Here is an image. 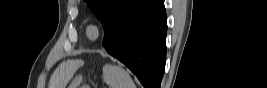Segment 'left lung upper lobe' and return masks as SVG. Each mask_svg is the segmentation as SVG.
I'll list each match as a JSON object with an SVG mask.
<instances>
[{
  "mask_svg": "<svg viewBox=\"0 0 267 88\" xmlns=\"http://www.w3.org/2000/svg\"><path fill=\"white\" fill-rule=\"evenodd\" d=\"M102 22L105 32L137 0H84Z\"/></svg>",
  "mask_w": 267,
  "mask_h": 88,
  "instance_id": "1",
  "label": "left lung upper lobe"
}]
</instances>
